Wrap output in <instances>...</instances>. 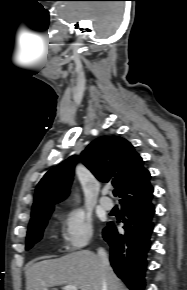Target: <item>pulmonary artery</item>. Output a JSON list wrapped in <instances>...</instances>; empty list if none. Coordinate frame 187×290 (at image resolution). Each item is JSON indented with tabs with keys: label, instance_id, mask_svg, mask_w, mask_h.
<instances>
[{
	"label": "pulmonary artery",
	"instance_id": "e3ab8cb5",
	"mask_svg": "<svg viewBox=\"0 0 187 290\" xmlns=\"http://www.w3.org/2000/svg\"><path fill=\"white\" fill-rule=\"evenodd\" d=\"M99 203L101 207L105 210H111L113 208V202L111 199H109L107 196L102 195L99 199Z\"/></svg>",
	"mask_w": 187,
	"mask_h": 290
}]
</instances>
